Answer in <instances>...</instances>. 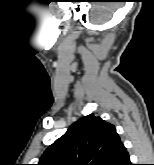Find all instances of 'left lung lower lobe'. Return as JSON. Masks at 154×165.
Returning <instances> with one entry per match:
<instances>
[{
	"instance_id": "1",
	"label": "left lung lower lobe",
	"mask_w": 154,
	"mask_h": 165,
	"mask_svg": "<svg viewBox=\"0 0 154 165\" xmlns=\"http://www.w3.org/2000/svg\"><path fill=\"white\" fill-rule=\"evenodd\" d=\"M114 165H132L129 154L124 146L120 149L117 161Z\"/></svg>"
}]
</instances>
